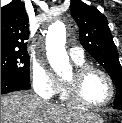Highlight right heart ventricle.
<instances>
[{"instance_id": "right-heart-ventricle-1", "label": "right heart ventricle", "mask_w": 122, "mask_h": 123, "mask_svg": "<svg viewBox=\"0 0 122 123\" xmlns=\"http://www.w3.org/2000/svg\"><path fill=\"white\" fill-rule=\"evenodd\" d=\"M74 63L76 64V66H81V65L86 64V62H85L84 59L79 60V61H74ZM59 93H60V97H61V99H62L63 101L70 103V102L67 100L66 96H65V90H64V83H63V82L60 83Z\"/></svg>"}]
</instances>
